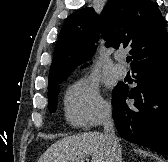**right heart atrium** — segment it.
Listing matches in <instances>:
<instances>
[{
	"label": "right heart atrium",
	"mask_w": 168,
	"mask_h": 162,
	"mask_svg": "<svg viewBox=\"0 0 168 162\" xmlns=\"http://www.w3.org/2000/svg\"><path fill=\"white\" fill-rule=\"evenodd\" d=\"M110 106L102 98L97 83L83 78L73 83L65 97L66 120L76 127H92L105 121Z\"/></svg>",
	"instance_id": "1"
}]
</instances>
